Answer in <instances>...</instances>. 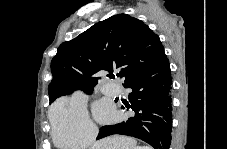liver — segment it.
Instances as JSON below:
<instances>
[{
    "label": "liver",
    "instance_id": "obj_1",
    "mask_svg": "<svg viewBox=\"0 0 227 149\" xmlns=\"http://www.w3.org/2000/svg\"><path fill=\"white\" fill-rule=\"evenodd\" d=\"M136 144V140L131 137L114 135L97 141L91 149H134Z\"/></svg>",
    "mask_w": 227,
    "mask_h": 149
}]
</instances>
